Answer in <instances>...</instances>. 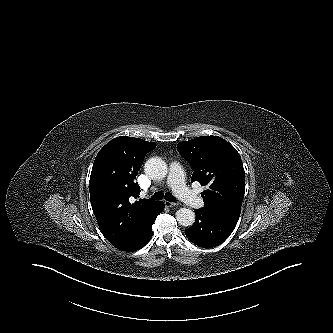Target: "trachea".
<instances>
[{
    "label": "trachea",
    "instance_id": "obj_1",
    "mask_svg": "<svg viewBox=\"0 0 333 333\" xmlns=\"http://www.w3.org/2000/svg\"><path fill=\"white\" fill-rule=\"evenodd\" d=\"M163 198H165L169 202L177 201L176 198L170 192H167L165 194H163L162 192H156L150 199L151 200H162Z\"/></svg>",
    "mask_w": 333,
    "mask_h": 333
}]
</instances>
